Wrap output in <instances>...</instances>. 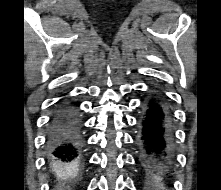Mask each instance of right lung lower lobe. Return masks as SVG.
Returning a JSON list of instances; mask_svg holds the SVG:
<instances>
[{"instance_id":"98d812e1","label":"right lung lower lobe","mask_w":221,"mask_h":190,"mask_svg":"<svg viewBox=\"0 0 221 190\" xmlns=\"http://www.w3.org/2000/svg\"><path fill=\"white\" fill-rule=\"evenodd\" d=\"M48 159L63 168L78 164L81 158L82 139L80 123L73 106L61 101L49 124Z\"/></svg>"}]
</instances>
